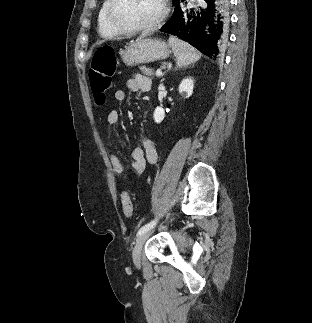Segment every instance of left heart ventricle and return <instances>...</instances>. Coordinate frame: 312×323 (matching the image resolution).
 <instances>
[{
    "label": "left heart ventricle",
    "instance_id": "obj_1",
    "mask_svg": "<svg viewBox=\"0 0 312 323\" xmlns=\"http://www.w3.org/2000/svg\"><path fill=\"white\" fill-rule=\"evenodd\" d=\"M114 18L124 22H148L152 14H162L161 0H115Z\"/></svg>",
    "mask_w": 312,
    "mask_h": 323
}]
</instances>
